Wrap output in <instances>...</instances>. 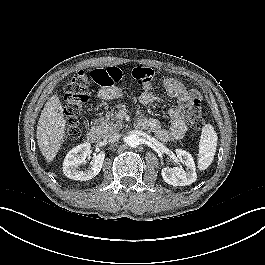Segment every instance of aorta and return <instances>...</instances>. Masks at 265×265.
Here are the masks:
<instances>
[{
    "label": "aorta",
    "mask_w": 265,
    "mask_h": 265,
    "mask_svg": "<svg viewBox=\"0 0 265 265\" xmlns=\"http://www.w3.org/2000/svg\"><path fill=\"white\" fill-rule=\"evenodd\" d=\"M127 144L130 147H137L140 144V137L136 134H131L127 137Z\"/></svg>",
    "instance_id": "aorta-1"
}]
</instances>
